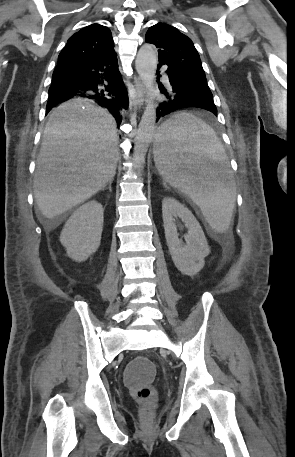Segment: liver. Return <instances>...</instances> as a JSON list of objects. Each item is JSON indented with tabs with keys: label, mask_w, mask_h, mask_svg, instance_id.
Listing matches in <instances>:
<instances>
[{
	"label": "liver",
	"mask_w": 295,
	"mask_h": 457,
	"mask_svg": "<svg viewBox=\"0 0 295 457\" xmlns=\"http://www.w3.org/2000/svg\"><path fill=\"white\" fill-rule=\"evenodd\" d=\"M114 119L87 99L53 109L44 129L33 182L42 215L53 220L114 178L119 150Z\"/></svg>",
	"instance_id": "6515ba94"
}]
</instances>
